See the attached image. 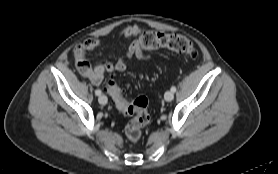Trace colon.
Instances as JSON below:
<instances>
[{
  "label": "colon",
  "instance_id": "obj_1",
  "mask_svg": "<svg viewBox=\"0 0 278 174\" xmlns=\"http://www.w3.org/2000/svg\"><path fill=\"white\" fill-rule=\"evenodd\" d=\"M140 43L146 49L167 48L192 58L197 57V50L192 41L180 34L147 31L142 34ZM105 88L122 113L133 115L126 125L125 134L130 142H137L141 137L142 128L150 120L147 98L138 97L132 101L126 100L122 88L113 79L107 81Z\"/></svg>",
  "mask_w": 278,
  "mask_h": 174
}]
</instances>
